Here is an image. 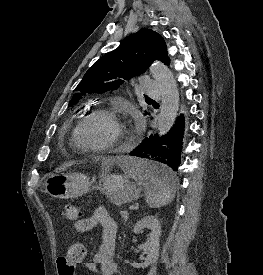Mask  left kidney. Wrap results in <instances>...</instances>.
I'll use <instances>...</instances> for the list:
<instances>
[{"label": "left kidney", "instance_id": "5707ae66", "mask_svg": "<svg viewBox=\"0 0 263 275\" xmlns=\"http://www.w3.org/2000/svg\"><path fill=\"white\" fill-rule=\"evenodd\" d=\"M150 229L151 232L144 244L138 246L140 250L146 254V258L142 263H132L134 268H147L149 265L155 263L159 257V238L161 236V226L159 220L155 216L147 215L139 220L134 228L133 232L139 234L144 229Z\"/></svg>", "mask_w": 263, "mask_h": 275}]
</instances>
